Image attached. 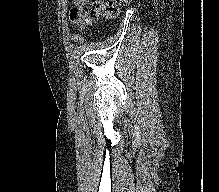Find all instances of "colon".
<instances>
[{"instance_id":"5ec220e1","label":"colon","mask_w":219,"mask_h":192,"mask_svg":"<svg viewBox=\"0 0 219 192\" xmlns=\"http://www.w3.org/2000/svg\"><path fill=\"white\" fill-rule=\"evenodd\" d=\"M70 20L80 29H85L93 20L115 16L131 0H73Z\"/></svg>"}]
</instances>
